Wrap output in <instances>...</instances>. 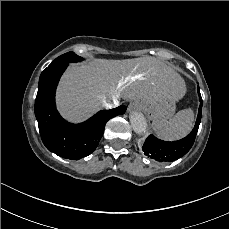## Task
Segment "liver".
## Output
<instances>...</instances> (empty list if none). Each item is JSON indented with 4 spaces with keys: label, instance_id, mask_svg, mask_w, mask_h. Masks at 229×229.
Segmentation results:
<instances>
[{
    "label": "liver",
    "instance_id": "liver-1",
    "mask_svg": "<svg viewBox=\"0 0 229 229\" xmlns=\"http://www.w3.org/2000/svg\"><path fill=\"white\" fill-rule=\"evenodd\" d=\"M184 91L185 85L175 70L154 57L98 59L69 69L61 82L58 101L64 115L77 121L110 99L130 100L133 104L174 103Z\"/></svg>",
    "mask_w": 229,
    "mask_h": 229
}]
</instances>
